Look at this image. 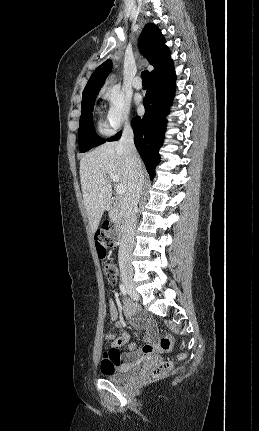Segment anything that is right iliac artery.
<instances>
[{
  "instance_id": "1",
  "label": "right iliac artery",
  "mask_w": 259,
  "mask_h": 431,
  "mask_svg": "<svg viewBox=\"0 0 259 431\" xmlns=\"http://www.w3.org/2000/svg\"><path fill=\"white\" fill-rule=\"evenodd\" d=\"M119 288L123 295H127V289L124 284L120 283Z\"/></svg>"
}]
</instances>
